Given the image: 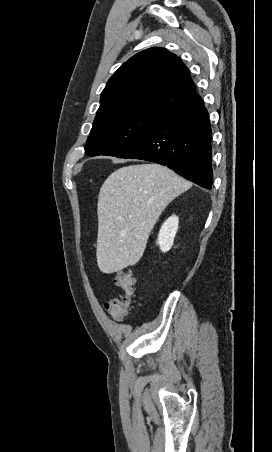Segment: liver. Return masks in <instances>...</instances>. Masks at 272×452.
Segmentation results:
<instances>
[{"mask_svg":"<svg viewBox=\"0 0 272 452\" xmlns=\"http://www.w3.org/2000/svg\"><path fill=\"white\" fill-rule=\"evenodd\" d=\"M191 185L159 164L130 165L111 173L98 195L100 271L111 274L135 265L161 213Z\"/></svg>","mask_w":272,"mask_h":452,"instance_id":"6515ba94","label":"liver"}]
</instances>
